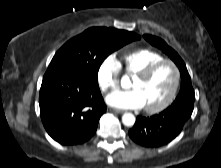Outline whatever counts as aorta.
Segmentation results:
<instances>
[{
    "mask_svg": "<svg viewBox=\"0 0 221 168\" xmlns=\"http://www.w3.org/2000/svg\"><path fill=\"white\" fill-rule=\"evenodd\" d=\"M122 123L128 127L133 126L135 123V116L132 113H125L122 116Z\"/></svg>",
    "mask_w": 221,
    "mask_h": 168,
    "instance_id": "1",
    "label": "aorta"
}]
</instances>
